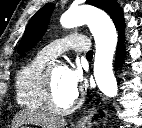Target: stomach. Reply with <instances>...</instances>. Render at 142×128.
Here are the masks:
<instances>
[{
	"instance_id": "stomach-1",
	"label": "stomach",
	"mask_w": 142,
	"mask_h": 128,
	"mask_svg": "<svg viewBox=\"0 0 142 128\" xmlns=\"http://www.w3.org/2000/svg\"><path fill=\"white\" fill-rule=\"evenodd\" d=\"M20 128H31V127H28V126H20Z\"/></svg>"
}]
</instances>
